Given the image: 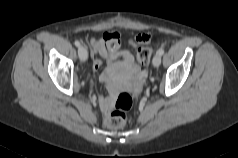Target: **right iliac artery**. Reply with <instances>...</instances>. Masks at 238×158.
I'll return each mask as SVG.
<instances>
[{"instance_id": "1", "label": "right iliac artery", "mask_w": 238, "mask_h": 158, "mask_svg": "<svg viewBox=\"0 0 238 158\" xmlns=\"http://www.w3.org/2000/svg\"><path fill=\"white\" fill-rule=\"evenodd\" d=\"M74 44H75L77 47H80V46H81V43H80L78 40H76V41L74 42Z\"/></svg>"}]
</instances>
